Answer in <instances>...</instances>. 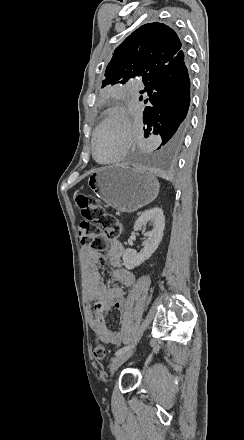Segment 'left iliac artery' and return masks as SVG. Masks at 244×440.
I'll return each instance as SVG.
<instances>
[{"label": "left iliac artery", "mask_w": 244, "mask_h": 440, "mask_svg": "<svg viewBox=\"0 0 244 440\" xmlns=\"http://www.w3.org/2000/svg\"><path fill=\"white\" fill-rule=\"evenodd\" d=\"M130 348H131V345L124 346V347L120 348L119 350H117V351L115 352V355L117 356V355H119V354H121V353H123V352H126V351H128Z\"/></svg>", "instance_id": "44dca946"}]
</instances>
